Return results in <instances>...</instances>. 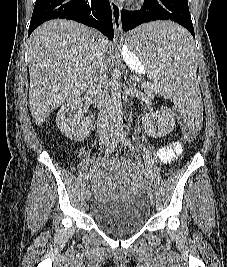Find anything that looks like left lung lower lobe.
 Returning <instances> with one entry per match:
<instances>
[{"label":"left lung lower lobe","instance_id":"1","mask_svg":"<svg viewBox=\"0 0 227 267\" xmlns=\"http://www.w3.org/2000/svg\"><path fill=\"white\" fill-rule=\"evenodd\" d=\"M122 28L129 31L136 26L156 20H171L184 26L195 38L188 0H144L141 10H122ZM155 43L175 49L185 44L181 38L163 37Z\"/></svg>","mask_w":227,"mask_h":267}]
</instances>
